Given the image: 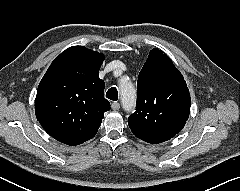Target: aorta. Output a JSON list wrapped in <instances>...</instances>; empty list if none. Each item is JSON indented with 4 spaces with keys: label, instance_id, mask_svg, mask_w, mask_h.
Listing matches in <instances>:
<instances>
[{
    "label": "aorta",
    "instance_id": "1",
    "mask_svg": "<svg viewBox=\"0 0 240 191\" xmlns=\"http://www.w3.org/2000/svg\"><path fill=\"white\" fill-rule=\"evenodd\" d=\"M122 106L125 111H131L136 104V91L130 82L120 84Z\"/></svg>",
    "mask_w": 240,
    "mask_h": 191
}]
</instances>
